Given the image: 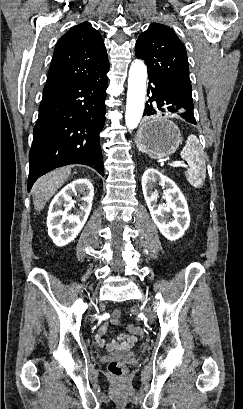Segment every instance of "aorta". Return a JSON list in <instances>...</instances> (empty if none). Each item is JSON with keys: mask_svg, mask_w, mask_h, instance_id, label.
<instances>
[{"mask_svg": "<svg viewBox=\"0 0 243 409\" xmlns=\"http://www.w3.org/2000/svg\"><path fill=\"white\" fill-rule=\"evenodd\" d=\"M146 79L147 69L144 62L141 60H135L129 70L125 113V123L130 130H133L138 126L143 115Z\"/></svg>", "mask_w": 243, "mask_h": 409, "instance_id": "obj_1", "label": "aorta"}]
</instances>
